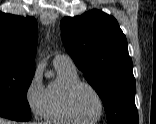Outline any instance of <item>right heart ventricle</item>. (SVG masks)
<instances>
[{"instance_id": "1", "label": "right heart ventricle", "mask_w": 156, "mask_h": 124, "mask_svg": "<svg viewBox=\"0 0 156 124\" xmlns=\"http://www.w3.org/2000/svg\"><path fill=\"white\" fill-rule=\"evenodd\" d=\"M57 78L46 88V112L45 118L55 124H81L75 119L66 103L68 88L75 82L80 81L76 67L67 65H55Z\"/></svg>"}]
</instances>
